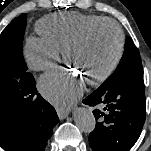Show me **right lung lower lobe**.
Here are the masks:
<instances>
[{
    "mask_svg": "<svg viewBox=\"0 0 151 151\" xmlns=\"http://www.w3.org/2000/svg\"><path fill=\"white\" fill-rule=\"evenodd\" d=\"M12 95L11 107L15 112L14 130L10 145L0 144L6 151H44L59 118L55 109L37 93L31 73L19 79L0 75V99Z\"/></svg>",
    "mask_w": 151,
    "mask_h": 151,
    "instance_id": "obj_1",
    "label": "right lung lower lobe"
}]
</instances>
